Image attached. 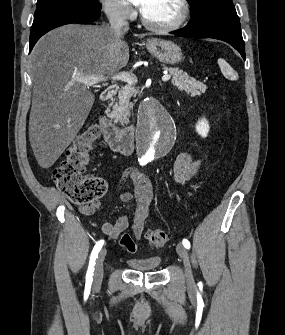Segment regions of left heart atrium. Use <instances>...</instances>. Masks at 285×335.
I'll use <instances>...</instances> for the list:
<instances>
[{"label": "left heart atrium", "instance_id": "left-heart-atrium-1", "mask_svg": "<svg viewBox=\"0 0 285 335\" xmlns=\"http://www.w3.org/2000/svg\"><path fill=\"white\" fill-rule=\"evenodd\" d=\"M136 3V5L138 6L140 12L142 14H144L145 12V8H146V4H147V1H134Z\"/></svg>", "mask_w": 285, "mask_h": 335}]
</instances>
